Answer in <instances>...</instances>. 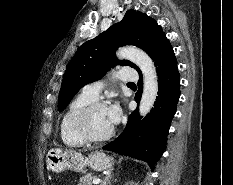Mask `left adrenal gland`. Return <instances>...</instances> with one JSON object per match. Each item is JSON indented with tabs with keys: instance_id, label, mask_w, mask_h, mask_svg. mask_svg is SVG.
Instances as JSON below:
<instances>
[{
	"instance_id": "left-adrenal-gland-1",
	"label": "left adrenal gland",
	"mask_w": 233,
	"mask_h": 185,
	"mask_svg": "<svg viewBox=\"0 0 233 185\" xmlns=\"http://www.w3.org/2000/svg\"><path fill=\"white\" fill-rule=\"evenodd\" d=\"M111 179H112V174L109 173L104 180L102 181L101 185H108L111 183Z\"/></svg>"
}]
</instances>
